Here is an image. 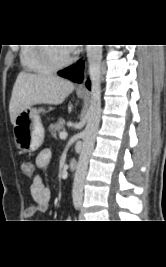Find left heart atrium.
Segmentation results:
<instances>
[{"label": "left heart atrium", "instance_id": "left-heart-atrium-1", "mask_svg": "<svg viewBox=\"0 0 166 267\" xmlns=\"http://www.w3.org/2000/svg\"><path fill=\"white\" fill-rule=\"evenodd\" d=\"M68 49H70L71 51H73V48L71 47V48H68Z\"/></svg>", "mask_w": 166, "mask_h": 267}]
</instances>
